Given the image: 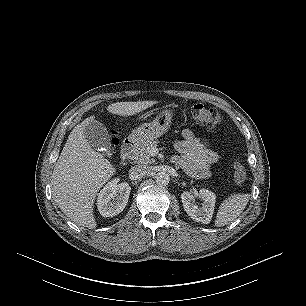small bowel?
I'll use <instances>...</instances> for the list:
<instances>
[{
	"mask_svg": "<svg viewBox=\"0 0 306 306\" xmlns=\"http://www.w3.org/2000/svg\"><path fill=\"white\" fill-rule=\"evenodd\" d=\"M182 136L175 142L181 155L175 162L193 177L208 178L212 165L219 161L218 153L211 148L207 138H198L189 129H185Z\"/></svg>",
	"mask_w": 306,
	"mask_h": 306,
	"instance_id": "small-bowel-1",
	"label": "small bowel"
}]
</instances>
